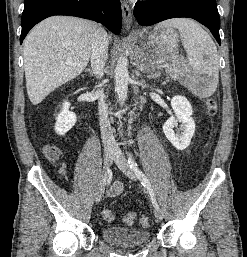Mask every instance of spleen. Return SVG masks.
I'll return each mask as SVG.
<instances>
[{"label": "spleen", "instance_id": "obj_1", "mask_svg": "<svg viewBox=\"0 0 247 257\" xmlns=\"http://www.w3.org/2000/svg\"><path fill=\"white\" fill-rule=\"evenodd\" d=\"M177 28L182 36L193 81H202L197 89L200 97L211 96L218 85L219 64L217 48L209 34L195 21L188 18H175L159 23L155 29Z\"/></svg>", "mask_w": 247, "mask_h": 257}]
</instances>
